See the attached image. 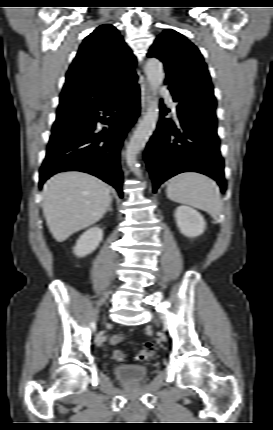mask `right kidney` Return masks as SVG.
<instances>
[{
	"label": "right kidney",
	"mask_w": 273,
	"mask_h": 430,
	"mask_svg": "<svg viewBox=\"0 0 273 430\" xmlns=\"http://www.w3.org/2000/svg\"><path fill=\"white\" fill-rule=\"evenodd\" d=\"M103 238V230L99 227H93L84 232L77 240L73 248L74 254L78 257H84L91 254L99 246Z\"/></svg>",
	"instance_id": "right-kidney-1"
}]
</instances>
